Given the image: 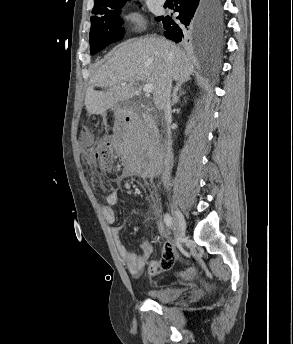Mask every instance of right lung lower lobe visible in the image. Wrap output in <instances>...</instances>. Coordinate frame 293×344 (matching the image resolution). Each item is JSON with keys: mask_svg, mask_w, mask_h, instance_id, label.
<instances>
[{"mask_svg": "<svg viewBox=\"0 0 293 344\" xmlns=\"http://www.w3.org/2000/svg\"><path fill=\"white\" fill-rule=\"evenodd\" d=\"M174 11L179 12L176 18L183 25L176 24L170 16L157 18L163 23L166 38L176 43L196 41L206 48L217 44L222 23L220 0H175Z\"/></svg>", "mask_w": 293, "mask_h": 344, "instance_id": "98d812e1", "label": "right lung lower lobe"}]
</instances>
